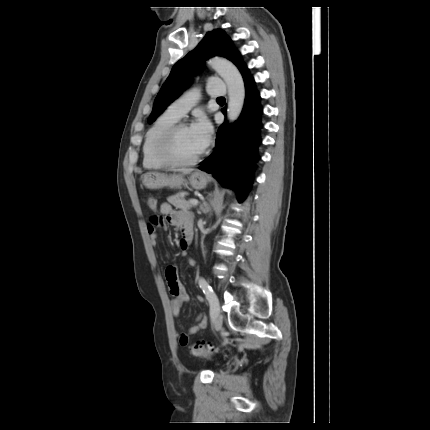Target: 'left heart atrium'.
Here are the masks:
<instances>
[{
  "instance_id": "left-heart-atrium-1",
  "label": "left heart atrium",
  "mask_w": 430,
  "mask_h": 430,
  "mask_svg": "<svg viewBox=\"0 0 430 430\" xmlns=\"http://www.w3.org/2000/svg\"><path fill=\"white\" fill-rule=\"evenodd\" d=\"M190 129L197 144L204 150L209 145L212 137V125L210 121L205 116H200Z\"/></svg>"
}]
</instances>
